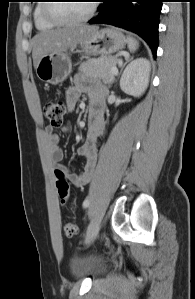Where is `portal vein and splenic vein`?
Returning <instances> with one entry per match:
<instances>
[{"instance_id": "18ae733b", "label": "portal vein and splenic vein", "mask_w": 195, "mask_h": 299, "mask_svg": "<svg viewBox=\"0 0 195 299\" xmlns=\"http://www.w3.org/2000/svg\"><path fill=\"white\" fill-rule=\"evenodd\" d=\"M111 72H112L114 75H116V74L118 73V69H117V67H112V68H111Z\"/></svg>"}]
</instances>
